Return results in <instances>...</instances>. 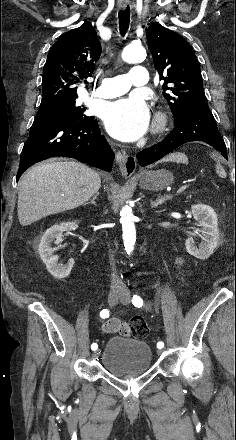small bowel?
I'll return each mask as SVG.
<instances>
[{
  "label": "small bowel",
  "instance_id": "small-bowel-1",
  "mask_svg": "<svg viewBox=\"0 0 236 440\" xmlns=\"http://www.w3.org/2000/svg\"><path fill=\"white\" fill-rule=\"evenodd\" d=\"M183 262L184 259L182 257L176 258L177 266H181ZM130 329V321H121L117 318L109 319L103 324L104 333H118L119 339H128L130 335L128 330Z\"/></svg>",
  "mask_w": 236,
  "mask_h": 440
}]
</instances>
